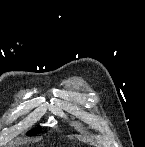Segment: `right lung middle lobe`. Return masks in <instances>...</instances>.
Masks as SVG:
<instances>
[{
    "instance_id": "right-lung-middle-lobe-1",
    "label": "right lung middle lobe",
    "mask_w": 145,
    "mask_h": 147,
    "mask_svg": "<svg viewBox=\"0 0 145 147\" xmlns=\"http://www.w3.org/2000/svg\"><path fill=\"white\" fill-rule=\"evenodd\" d=\"M39 131H40L39 129H32V130L29 131V134H30V135H35V134H37Z\"/></svg>"
}]
</instances>
